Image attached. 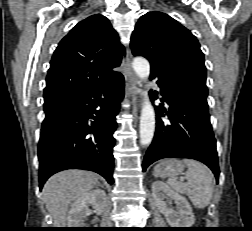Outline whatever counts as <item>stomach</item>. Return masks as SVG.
Wrapping results in <instances>:
<instances>
[{"label": "stomach", "mask_w": 252, "mask_h": 231, "mask_svg": "<svg viewBox=\"0 0 252 231\" xmlns=\"http://www.w3.org/2000/svg\"><path fill=\"white\" fill-rule=\"evenodd\" d=\"M184 170V165L181 161L177 159H166L160 162L154 168V176L166 178V177H176L181 174Z\"/></svg>", "instance_id": "stomach-1"}]
</instances>
